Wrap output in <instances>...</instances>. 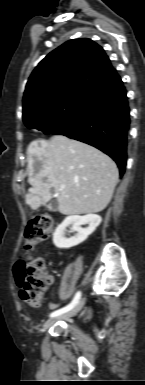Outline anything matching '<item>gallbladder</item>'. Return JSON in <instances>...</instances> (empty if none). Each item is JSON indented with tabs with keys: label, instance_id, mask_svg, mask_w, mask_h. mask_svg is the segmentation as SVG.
<instances>
[{
	"label": "gallbladder",
	"instance_id": "gallbladder-1",
	"mask_svg": "<svg viewBox=\"0 0 145 385\" xmlns=\"http://www.w3.org/2000/svg\"><path fill=\"white\" fill-rule=\"evenodd\" d=\"M48 209H50L51 211H57L58 209V201L56 198H52L49 202V204L47 205Z\"/></svg>",
	"mask_w": 145,
	"mask_h": 385
}]
</instances>
